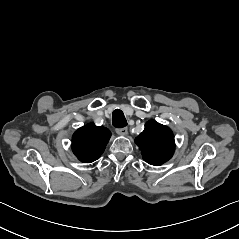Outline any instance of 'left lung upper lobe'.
<instances>
[{
	"label": "left lung upper lobe",
	"instance_id": "left-lung-upper-lobe-1",
	"mask_svg": "<svg viewBox=\"0 0 239 239\" xmlns=\"http://www.w3.org/2000/svg\"><path fill=\"white\" fill-rule=\"evenodd\" d=\"M144 161L159 166L172 158L175 150L171 129L154 120L145 124L144 131L135 139Z\"/></svg>",
	"mask_w": 239,
	"mask_h": 239
}]
</instances>
